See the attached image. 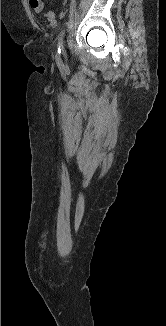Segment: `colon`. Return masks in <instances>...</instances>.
<instances>
[{
    "instance_id": "1",
    "label": "colon",
    "mask_w": 166,
    "mask_h": 326,
    "mask_svg": "<svg viewBox=\"0 0 166 326\" xmlns=\"http://www.w3.org/2000/svg\"><path fill=\"white\" fill-rule=\"evenodd\" d=\"M42 16H43L46 20H48V21H50V22H52V23L55 22V13H54L53 11H44V12L42 13Z\"/></svg>"
}]
</instances>
